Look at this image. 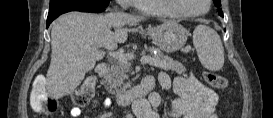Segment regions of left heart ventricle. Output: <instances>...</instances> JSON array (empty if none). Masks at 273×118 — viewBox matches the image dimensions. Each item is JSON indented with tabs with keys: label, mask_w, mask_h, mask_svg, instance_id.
I'll return each instance as SVG.
<instances>
[{
	"label": "left heart ventricle",
	"mask_w": 273,
	"mask_h": 118,
	"mask_svg": "<svg viewBox=\"0 0 273 118\" xmlns=\"http://www.w3.org/2000/svg\"><path fill=\"white\" fill-rule=\"evenodd\" d=\"M185 11L198 12L206 8L205 0H179L178 1Z\"/></svg>",
	"instance_id": "obj_1"
}]
</instances>
